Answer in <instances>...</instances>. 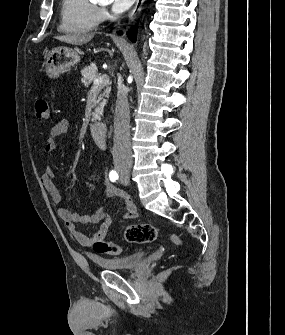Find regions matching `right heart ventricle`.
Wrapping results in <instances>:
<instances>
[{
  "label": "right heart ventricle",
  "mask_w": 285,
  "mask_h": 335,
  "mask_svg": "<svg viewBox=\"0 0 285 335\" xmlns=\"http://www.w3.org/2000/svg\"><path fill=\"white\" fill-rule=\"evenodd\" d=\"M97 7V1H66L63 6L62 28L70 27L77 33L93 31L98 25L95 16Z\"/></svg>",
  "instance_id": "right-heart-ventricle-1"
}]
</instances>
